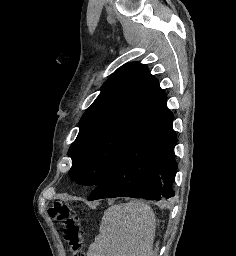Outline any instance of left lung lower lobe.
<instances>
[{"mask_svg": "<svg viewBox=\"0 0 236 256\" xmlns=\"http://www.w3.org/2000/svg\"><path fill=\"white\" fill-rule=\"evenodd\" d=\"M172 121L173 114L166 104L144 121L88 200L115 197L160 200L174 196L177 137Z\"/></svg>", "mask_w": 236, "mask_h": 256, "instance_id": "0a47b994", "label": "left lung lower lobe"}]
</instances>
